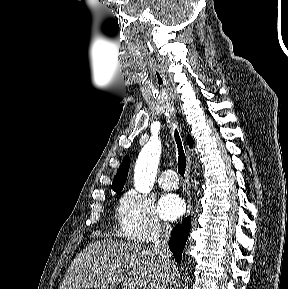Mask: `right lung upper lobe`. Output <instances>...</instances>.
<instances>
[{"label":"right lung upper lobe","mask_w":288,"mask_h":289,"mask_svg":"<svg viewBox=\"0 0 288 289\" xmlns=\"http://www.w3.org/2000/svg\"><path fill=\"white\" fill-rule=\"evenodd\" d=\"M187 143L188 145H192L193 144V139L188 136L187 137ZM129 166H130V158L129 156H125L118 171L117 174L113 180L112 186L111 188L116 192V191H122L124 184L126 182L127 179V175H128V170H129Z\"/></svg>","instance_id":"1"}]
</instances>
